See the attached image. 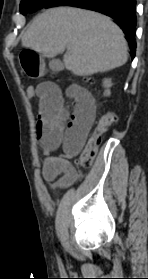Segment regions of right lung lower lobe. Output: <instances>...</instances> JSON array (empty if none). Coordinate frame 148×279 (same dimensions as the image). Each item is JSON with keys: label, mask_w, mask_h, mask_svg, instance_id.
<instances>
[{"label": "right lung lower lobe", "mask_w": 148, "mask_h": 279, "mask_svg": "<svg viewBox=\"0 0 148 279\" xmlns=\"http://www.w3.org/2000/svg\"><path fill=\"white\" fill-rule=\"evenodd\" d=\"M136 0H50L44 8L74 6L103 13L112 17L123 30L129 42L131 56L135 57Z\"/></svg>", "instance_id": "obj_1"}]
</instances>
